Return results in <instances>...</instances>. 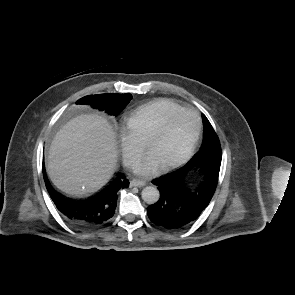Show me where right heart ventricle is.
Segmentation results:
<instances>
[{"label": "right heart ventricle", "mask_w": 295, "mask_h": 295, "mask_svg": "<svg viewBox=\"0 0 295 295\" xmlns=\"http://www.w3.org/2000/svg\"><path fill=\"white\" fill-rule=\"evenodd\" d=\"M182 108L172 100L158 99L131 112L125 118V123L132 135L141 144H144L171 113Z\"/></svg>", "instance_id": "e07e8e85"}]
</instances>
